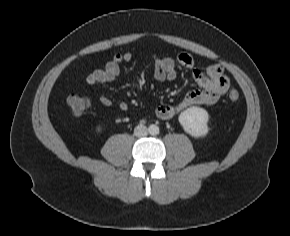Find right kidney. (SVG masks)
<instances>
[{"label": "right kidney", "instance_id": "right-kidney-1", "mask_svg": "<svg viewBox=\"0 0 290 236\" xmlns=\"http://www.w3.org/2000/svg\"><path fill=\"white\" fill-rule=\"evenodd\" d=\"M97 131H98V132H100V131H101V128H100V127H98V128H97Z\"/></svg>", "mask_w": 290, "mask_h": 236}]
</instances>
